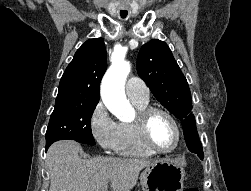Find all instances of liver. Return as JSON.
Instances as JSON below:
<instances>
[{
    "label": "liver",
    "mask_w": 251,
    "mask_h": 191,
    "mask_svg": "<svg viewBox=\"0 0 251 191\" xmlns=\"http://www.w3.org/2000/svg\"><path fill=\"white\" fill-rule=\"evenodd\" d=\"M85 159H82V157ZM46 163L50 173L49 191H104L133 189L143 167L151 165L150 159L131 157H90L87 159L80 143L61 139L50 145Z\"/></svg>",
    "instance_id": "1"
}]
</instances>
